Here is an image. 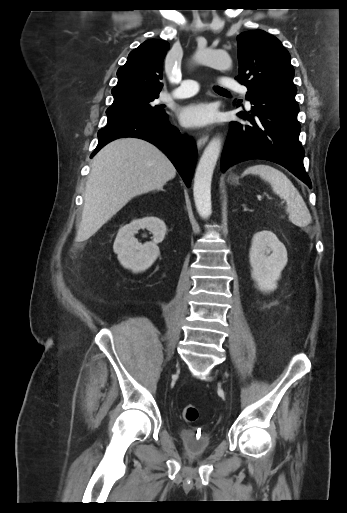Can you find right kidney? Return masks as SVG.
I'll use <instances>...</instances> for the list:
<instances>
[{"mask_svg":"<svg viewBox=\"0 0 347 513\" xmlns=\"http://www.w3.org/2000/svg\"><path fill=\"white\" fill-rule=\"evenodd\" d=\"M147 229L153 234L150 242L141 244L134 235L140 229ZM165 223L157 217H145L133 220L121 227L114 241L113 250L120 264L134 273L148 269L160 254L158 243L164 240Z\"/></svg>","mask_w":347,"mask_h":513,"instance_id":"1","label":"right kidney"}]
</instances>
